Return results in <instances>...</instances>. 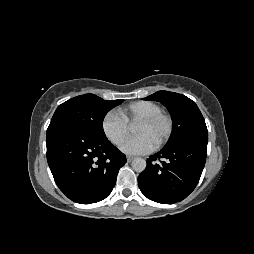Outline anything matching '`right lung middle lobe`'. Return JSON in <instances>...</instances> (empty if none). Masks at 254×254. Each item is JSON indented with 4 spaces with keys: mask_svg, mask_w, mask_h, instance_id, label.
<instances>
[{
    "mask_svg": "<svg viewBox=\"0 0 254 254\" xmlns=\"http://www.w3.org/2000/svg\"><path fill=\"white\" fill-rule=\"evenodd\" d=\"M120 100L108 101L94 94H84L62 103L56 109L50 124L66 123L89 133L105 136L103 119Z\"/></svg>",
    "mask_w": 254,
    "mask_h": 254,
    "instance_id": "dd1d6c3e",
    "label": "right lung middle lobe"
}]
</instances>
